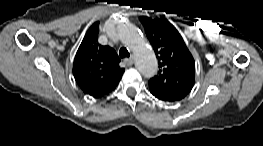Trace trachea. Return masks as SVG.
<instances>
[{
  "label": "trachea",
  "mask_w": 263,
  "mask_h": 146,
  "mask_svg": "<svg viewBox=\"0 0 263 146\" xmlns=\"http://www.w3.org/2000/svg\"><path fill=\"white\" fill-rule=\"evenodd\" d=\"M119 55L121 58H126V57H129L130 56V53L129 51L125 48V47H122L120 50H119Z\"/></svg>",
  "instance_id": "trachea-1"
}]
</instances>
